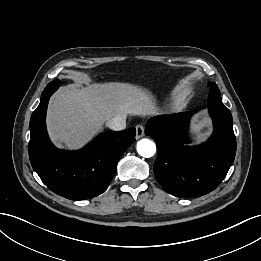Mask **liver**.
<instances>
[{"label": "liver", "instance_id": "obj_1", "mask_svg": "<svg viewBox=\"0 0 261 261\" xmlns=\"http://www.w3.org/2000/svg\"><path fill=\"white\" fill-rule=\"evenodd\" d=\"M152 96L144 89L119 82L63 87L50 102L47 127L53 142L78 149L116 115L157 114Z\"/></svg>", "mask_w": 261, "mask_h": 261}]
</instances>
